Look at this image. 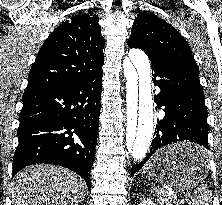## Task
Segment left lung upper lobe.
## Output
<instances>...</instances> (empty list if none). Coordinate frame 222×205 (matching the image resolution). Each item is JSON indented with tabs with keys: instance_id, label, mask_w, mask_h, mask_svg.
Instances as JSON below:
<instances>
[{
	"instance_id": "left-lung-upper-lobe-1",
	"label": "left lung upper lobe",
	"mask_w": 222,
	"mask_h": 205,
	"mask_svg": "<svg viewBox=\"0 0 222 205\" xmlns=\"http://www.w3.org/2000/svg\"><path fill=\"white\" fill-rule=\"evenodd\" d=\"M128 46L140 48L149 58H172L198 69L184 38L169 23L152 13L142 12L137 15Z\"/></svg>"
}]
</instances>
